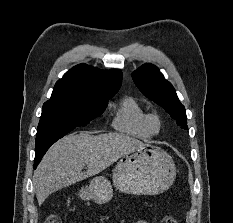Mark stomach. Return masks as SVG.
Listing matches in <instances>:
<instances>
[{
	"instance_id": "1",
	"label": "stomach",
	"mask_w": 233,
	"mask_h": 223,
	"mask_svg": "<svg viewBox=\"0 0 233 223\" xmlns=\"http://www.w3.org/2000/svg\"><path fill=\"white\" fill-rule=\"evenodd\" d=\"M176 177L175 163L161 147L152 143L135 145L122 155L113 169L112 181L97 175L79 189L77 195L85 201L107 203L114 187L132 195H158L172 185Z\"/></svg>"
}]
</instances>
